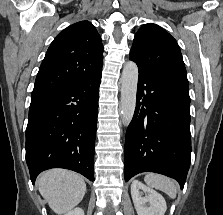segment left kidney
<instances>
[{
  "instance_id": "obj_1",
  "label": "left kidney",
  "mask_w": 223,
  "mask_h": 215,
  "mask_svg": "<svg viewBox=\"0 0 223 215\" xmlns=\"http://www.w3.org/2000/svg\"><path fill=\"white\" fill-rule=\"evenodd\" d=\"M143 191L146 195L141 197L140 193H143ZM131 195L138 215H164L167 209L163 195L157 193L155 189L147 187L138 179H134L131 183ZM146 203H149V207H147Z\"/></svg>"
}]
</instances>
